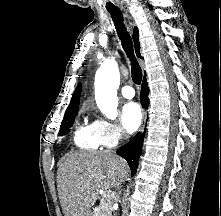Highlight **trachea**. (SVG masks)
I'll return each mask as SVG.
<instances>
[{
  "label": "trachea",
  "instance_id": "3493384b",
  "mask_svg": "<svg viewBox=\"0 0 221 216\" xmlns=\"http://www.w3.org/2000/svg\"><path fill=\"white\" fill-rule=\"evenodd\" d=\"M109 13L114 21L118 36L122 41L123 49L131 60L132 80L135 84H140L142 80V70L134 56L132 39L123 24L122 15L118 10H109Z\"/></svg>",
  "mask_w": 221,
  "mask_h": 216
}]
</instances>
